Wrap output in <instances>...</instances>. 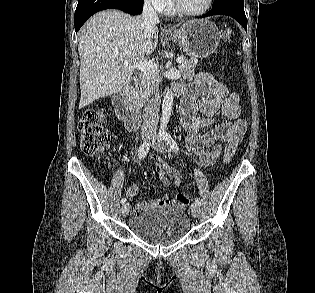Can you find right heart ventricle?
<instances>
[{"instance_id":"1","label":"right heart ventricle","mask_w":315,"mask_h":293,"mask_svg":"<svg viewBox=\"0 0 315 293\" xmlns=\"http://www.w3.org/2000/svg\"><path fill=\"white\" fill-rule=\"evenodd\" d=\"M166 11H167L169 14L174 13V9H173V7H172V4H169V5L167 6Z\"/></svg>"}]
</instances>
